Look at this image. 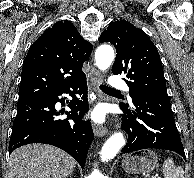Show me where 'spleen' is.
Masks as SVG:
<instances>
[{
  "label": "spleen",
  "instance_id": "spleen-1",
  "mask_svg": "<svg viewBox=\"0 0 194 178\" xmlns=\"http://www.w3.org/2000/svg\"><path fill=\"white\" fill-rule=\"evenodd\" d=\"M164 178H184V170L175 165L172 158L168 157L162 166Z\"/></svg>",
  "mask_w": 194,
  "mask_h": 178
}]
</instances>
